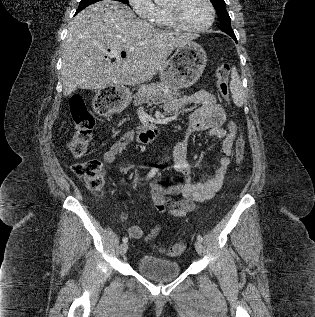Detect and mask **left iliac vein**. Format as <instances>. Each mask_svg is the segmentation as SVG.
Here are the masks:
<instances>
[{"instance_id": "obj_1", "label": "left iliac vein", "mask_w": 315, "mask_h": 317, "mask_svg": "<svg viewBox=\"0 0 315 317\" xmlns=\"http://www.w3.org/2000/svg\"><path fill=\"white\" fill-rule=\"evenodd\" d=\"M195 249H196V251H197L198 254H202V252H203V245H202V242H201V241L197 240V241L195 242Z\"/></svg>"}]
</instances>
